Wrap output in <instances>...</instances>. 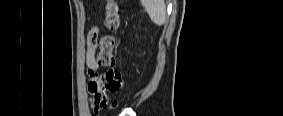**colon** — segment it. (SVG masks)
I'll use <instances>...</instances> for the list:
<instances>
[{
  "label": "colon",
  "instance_id": "5ec220e1",
  "mask_svg": "<svg viewBox=\"0 0 283 116\" xmlns=\"http://www.w3.org/2000/svg\"><path fill=\"white\" fill-rule=\"evenodd\" d=\"M120 25L119 6L115 0H108L106 4L105 26L108 30L100 40V51L98 54V63L107 69L103 75L104 79L109 82V90L117 92L122 87L121 74L117 68L115 49L116 37L115 32ZM117 100L108 98L103 103H97L93 106L94 112L101 110L113 109L117 106Z\"/></svg>",
  "mask_w": 283,
  "mask_h": 116
}]
</instances>
